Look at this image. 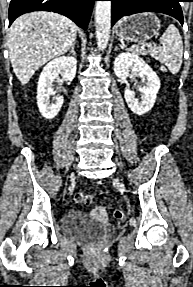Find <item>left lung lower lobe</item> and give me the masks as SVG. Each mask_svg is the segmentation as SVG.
<instances>
[{
    "label": "left lung lower lobe",
    "instance_id": "1",
    "mask_svg": "<svg viewBox=\"0 0 193 287\" xmlns=\"http://www.w3.org/2000/svg\"><path fill=\"white\" fill-rule=\"evenodd\" d=\"M112 2L111 25L123 16L140 12H159L176 18L183 25L180 0H110Z\"/></svg>",
    "mask_w": 193,
    "mask_h": 287
}]
</instances>
